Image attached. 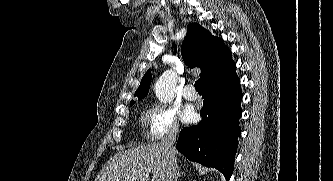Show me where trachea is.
<instances>
[{
	"label": "trachea",
	"mask_w": 333,
	"mask_h": 181,
	"mask_svg": "<svg viewBox=\"0 0 333 181\" xmlns=\"http://www.w3.org/2000/svg\"><path fill=\"white\" fill-rule=\"evenodd\" d=\"M195 89L198 92H201V85H200V80L199 79L195 82Z\"/></svg>",
	"instance_id": "3493384b"
}]
</instances>
